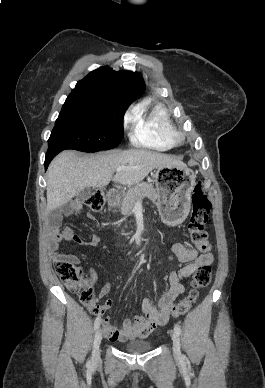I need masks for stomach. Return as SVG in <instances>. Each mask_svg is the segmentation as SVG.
I'll list each match as a JSON object with an SVG mask.
<instances>
[{"label":"stomach","mask_w":265,"mask_h":388,"mask_svg":"<svg viewBox=\"0 0 265 388\" xmlns=\"http://www.w3.org/2000/svg\"><path fill=\"white\" fill-rule=\"evenodd\" d=\"M195 178L194 172L186 166H160L156 169V204L165 223L174 226L185 220L190 211Z\"/></svg>","instance_id":"1"}]
</instances>
